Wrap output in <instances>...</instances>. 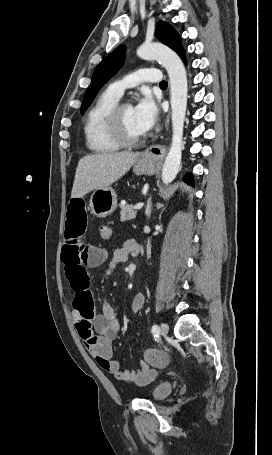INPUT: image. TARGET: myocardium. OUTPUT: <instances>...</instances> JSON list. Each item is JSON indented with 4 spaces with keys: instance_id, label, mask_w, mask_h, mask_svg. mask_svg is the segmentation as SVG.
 <instances>
[{
    "instance_id": "1",
    "label": "myocardium",
    "mask_w": 272,
    "mask_h": 455,
    "mask_svg": "<svg viewBox=\"0 0 272 455\" xmlns=\"http://www.w3.org/2000/svg\"><path fill=\"white\" fill-rule=\"evenodd\" d=\"M129 106L128 103L118 102L108 112L106 117V127L112 140L121 147H135L139 145L144 137H129L123 127L122 111Z\"/></svg>"
}]
</instances>
